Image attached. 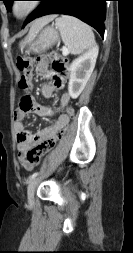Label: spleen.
Segmentation results:
<instances>
[{"mask_svg":"<svg viewBox=\"0 0 133 253\" xmlns=\"http://www.w3.org/2000/svg\"><path fill=\"white\" fill-rule=\"evenodd\" d=\"M56 29L60 31L63 43L73 55L90 50L95 45L92 29L79 19L62 15L55 20Z\"/></svg>","mask_w":133,"mask_h":253,"instance_id":"3e777b00","label":"spleen"}]
</instances>
